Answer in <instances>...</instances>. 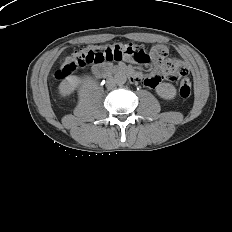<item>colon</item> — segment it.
Instances as JSON below:
<instances>
[{
  "instance_id": "5ec220e1",
  "label": "colon",
  "mask_w": 232,
  "mask_h": 232,
  "mask_svg": "<svg viewBox=\"0 0 232 232\" xmlns=\"http://www.w3.org/2000/svg\"><path fill=\"white\" fill-rule=\"evenodd\" d=\"M161 62L160 65L165 71V78L176 80L179 83V94L186 99L191 94V81L185 68H178L175 63L168 58L167 49L164 46H156L149 56L144 49L132 46L112 45L103 47H91L80 49L71 57L65 58L59 68L55 71L56 79H64L78 68L86 67L93 63L104 61H120L127 59L137 64H145L150 61Z\"/></svg>"
}]
</instances>
